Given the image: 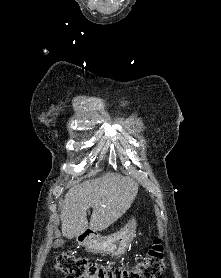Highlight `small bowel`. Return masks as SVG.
Segmentation results:
<instances>
[{
    "label": "small bowel",
    "instance_id": "c3829d8e",
    "mask_svg": "<svg viewBox=\"0 0 221 278\" xmlns=\"http://www.w3.org/2000/svg\"><path fill=\"white\" fill-rule=\"evenodd\" d=\"M122 267L121 266H117L116 268H115V270H118V269H121Z\"/></svg>",
    "mask_w": 221,
    "mask_h": 278
}]
</instances>
